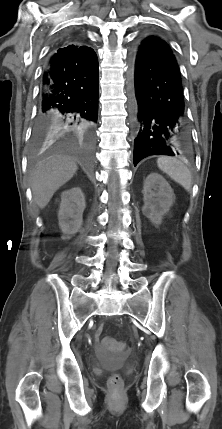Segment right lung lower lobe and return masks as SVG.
<instances>
[{
    "instance_id": "98d812e1",
    "label": "right lung lower lobe",
    "mask_w": 222,
    "mask_h": 429,
    "mask_svg": "<svg viewBox=\"0 0 222 429\" xmlns=\"http://www.w3.org/2000/svg\"><path fill=\"white\" fill-rule=\"evenodd\" d=\"M98 115V61L59 48L45 64L35 128L89 136Z\"/></svg>"
}]
</instances>
